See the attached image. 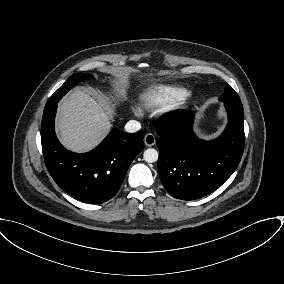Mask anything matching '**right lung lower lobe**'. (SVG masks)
I'll return each instance as SVG.
<instances>
[{
  "label": "right lung lower lobe",
  "instance_id": "obj_1",
  "mask_svg": "<svg viewBox=\"0 0 284 284\" xmlns=\"http://www.w3.org/2000/svg\"><path fill=\"white\" fill-rule=\"evenodd\" d=\"M56 109L57 103L45 108L41 124L42 151L51 177L61 189L83 202L108 201L119 190L133 159L143 150L144 132L112 130L92 151L73 153L55 135Z\"/></svg>",
  "mask_w": 284,
  "mask_h": 284
}]
</instances>
